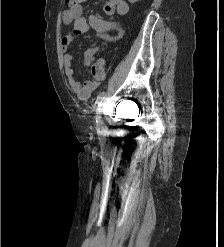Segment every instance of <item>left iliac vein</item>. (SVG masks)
Here are the masks:
<instances>
[{"label":"left iliac vein","mask_w":224,"mask_h":247,"mask_svg":"<svg viewBox=\"0 0 224 247\" xmlns=\"http://www.w3.org/2000/svg\"><path fill=\"white\" fill-rule=\"evenodd\" d=\"M102 111H103V106L101 105L98 109V116H97V122H96L98 130L102 129V127H103V120H102L101 115H100L102 113Z\"/></svg>","instance_id":"4c4485c4"}]
</instances>
